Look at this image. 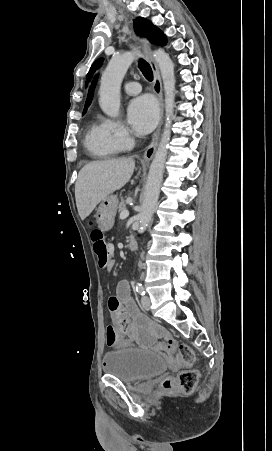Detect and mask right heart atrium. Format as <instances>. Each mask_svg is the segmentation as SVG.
<instances>
[{"label":"right heart atrium","mask_w":272,"mask_h":451,"mask_svg":"<svg viewBox=\"0 0 272 451\" xmlns=\"http://www.w3.org/2000/svg\"><path fill=\"white\" fill-rule=\"evenodd\" d=\"M104 125L118 145L124 146L127 144L129 134L121 123L114 120H106Z\"/></svg>","instance_id":"right-heart-atrium-1"}]
</instances>
